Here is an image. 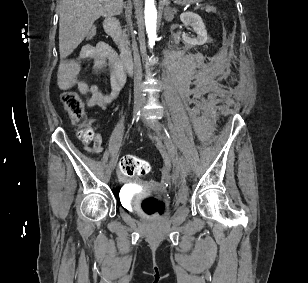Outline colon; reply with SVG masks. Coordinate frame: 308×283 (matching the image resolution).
Here are the masks:
<instances>
[{"label": "colon", "instance_id": "5ec220e1", "mask_svg": "<svg viewBox=\"0 0 308 283\" xmlns=\"http://www.w3.org/2000/svg\"><path fill=\"white\" fill-rule=\"evenodd\" d=\"M95 34L96 29L91 28L88 32V38H93ZM61 101L65 110L69 113L73 124L78 128V137L83 141L92 140L95 132L87 122L84 105L80 96L76 92L65 91L61 94ZM120 168L122 173L128 177L146 175L150 172L149 163L134 155L123 157ZM144 208L150 213L156 209L161 210L162 204L156 198H149L144 202Z\"/></svg>", "mask_w": 308, "mask_h": 283}]
</instances>
